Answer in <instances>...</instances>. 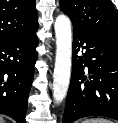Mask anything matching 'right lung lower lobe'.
I'll return each instance as SVG.
<instances>
[{"instance_id": "obj_1", "label": "right lung lower lobe", "mask_w": 118, "mask_h": 123, "mask_svg": "<svg viewBox=\"0 0 118 123\" xmlns=\"http://www.w3.org/2000/svg\"><path fill=\"white\" fill-rule=\"evenodd\" d=\"M36 31L23 38L0 42V113L18 123H25L38 55Z\"/></svg>"}]
</instances>
